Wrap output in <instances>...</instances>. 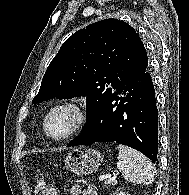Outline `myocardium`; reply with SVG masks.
Instances as JSON below:
<instances>
[{"instance_id": "f54148a6", "label": "myocardium", "mask_w": 189, "mask_h": 195, "mask_svg": "<svg viewBox=\"0 0 189 195\" xmlns=\"http://www.w3.org/2000/svg\"><path fill=\"white\" fill-rule=\"evenodd\" d=\"M66 107L71 108L76 112L77 114L76 124L67 134L61 137H54L48 131V120L55 111L61 108H66ZM87 121H88V112L82 104L74 100H65V101L57 103L47 112L43 120V130H44L45 135L50 140L54 142H63V141H66L72 138L76 134H78L85 127Z\"/></svg>"}]
</instances>
